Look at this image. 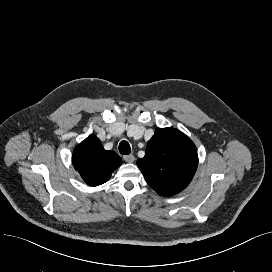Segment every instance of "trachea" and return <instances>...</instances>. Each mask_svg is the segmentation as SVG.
Returning a JSON list of instances; mask_svg holds the SVG:
<instances>
[{
  "label": "trachea",
  "instance_id": "3493384b",
  "mask_svg": "<svg viewBox=\"0 0 272 272\" xmlns=\"http://www.w3.org/2000/svg\"><path fill=\"white\" fill-rule=\"evenodd\" d=\"M119 152L122 154V155H129L130 152H131V148H130V145L127 141H121L120 144H119Z\"/></svg>",
  "mask_w": 272,
  "mask_h": 272
}]
</instances>
